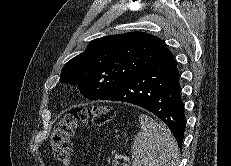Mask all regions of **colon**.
Instances as JSON below:
<instances>
[{
    "label": "colon",
    "instance_id": "colon-1",
    "mask_svg": "<svg viewBox=\"0 0 231 166\" xmlns=\"http://www.w3.org/2000/svg\"><path fill=\"white\" fill-rule=\"evenodd\" d=\"M115 119V113L109 105H93L71 109L55 124L51 135V148L54 156L65 164L71 160V137L75 129L92 121L104 126Z\"/></svg>",
    "mask_w": 231,
    "mask_h": 166
}]
</instances>
